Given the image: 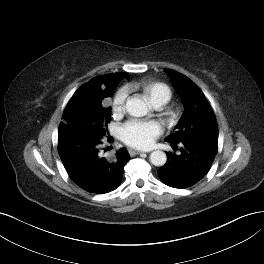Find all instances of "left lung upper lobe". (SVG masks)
Listing matches in <instances>:
<instances>
[{"mask_svg": "<svg viewBox=\"0 0 264 264\" xmlns=\"http://www.w3.org/2000/svg\"><path fill=\"white\" fill-rule=\"evenodd\" d=\"M175 89L182 98L184 112L176 131L165 140L181 143L188 140L204 139L218 142V126L215 115L203 92L186 76L172 70H165Z\"/></svg>", "mask_w": 264, "mask_h": 264, "instance_id": "1", "label": "left lung upper lobe"}]
</instances>
